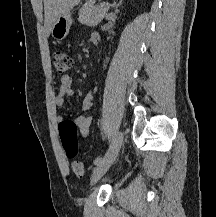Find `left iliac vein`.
Segmentation results:
<instances>
[{
    "instance_id": "left-iliac-vein-1",
    "label": "left iliac vein",
    "mask_w": 216,
    "mask_h": 217,
    "mask_svg": "<svg viewBox=\"0 0 216 217\" xmlns=\"http://www.w3.org/2000/svg\"><path fill=\"white\" fill-rule=\"evenodd\" d=\"M123 141V134L121 132H117L113 138V141L103 159V161L94 168L92 176H91V183H96L110 168V166L115 161L118 152L121 148Z\"/></svg>"
}]
</instances>
